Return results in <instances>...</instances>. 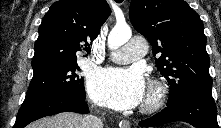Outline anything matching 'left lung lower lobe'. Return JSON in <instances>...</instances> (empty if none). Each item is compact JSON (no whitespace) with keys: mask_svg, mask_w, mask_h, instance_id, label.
<instances>
[{"mask_svg":"<svg viewBox=\"0 0 221 128\" xmlns=\"http://www.w3.org/2000/svg\"><path fill=\"white\" fill-rule=\"evenodd\" d=\"M174 121H184L196 128H219L212 95L197 93L187 96L153 117L140 121L139 126L154 127Z\"/></svg>","mask_w":221,"mask_h":128,"instance_id":"obj_1","label":"left lung lower lobe"}]
</instances>
